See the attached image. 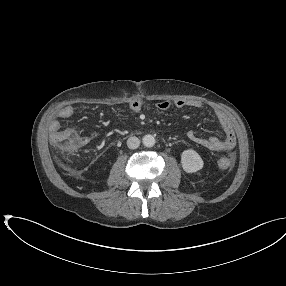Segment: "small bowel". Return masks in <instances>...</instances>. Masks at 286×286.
Returning a JSON list of instances; mask_svg holds the SVG:
<instances>
[{"instance_id": "small-bowel-1", "label": "small bowel", "mask_w": 286, "mask_h": 286, "mask_svg": "<svg viewBox=\"0 0 286 286\" xmlns=\"http://www.w3.org/2000/svg\"><path fill=\"white\" fill-rule=\"evenodd\" d=\"M143 105H144L143 98L140 97L135 98L130 103L129 110L132 114H137L142 110ZM172 106L176 107L177 109H182L187 106L198 109L202 107V104L201 102L194 100L193 101L176 100L173 103L168 100H164L160 101L157 104V108L161 111H166L170 109ZM73 114H74V108L71 105L63 106L57 111V117H59L60 119H68ZM215 115L225 132V137L223 139L215 137H209V138L201 137L194 130H189L187 132V137L190 141L205 149L215 152L228 153L232 151L236 145V135L233 123L230 117L222 110H216ZM60 127L61 125L58 120L52 121L50 124L51 136L56 131H59ZM96 136L97 135L95 133L91 134V138H94Z\"/></svg>"}]
</instances>
